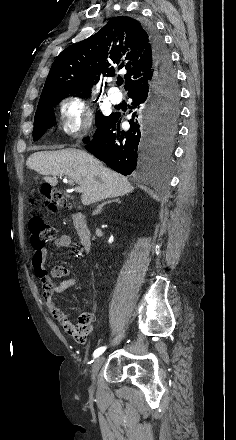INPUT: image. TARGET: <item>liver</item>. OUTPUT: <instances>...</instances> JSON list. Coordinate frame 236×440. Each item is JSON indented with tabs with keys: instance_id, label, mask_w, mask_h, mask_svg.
I'll return each instance as SVG.
<instances>
[{
	"instance_id": "1",
	"label": "liver",
	"mask_w": 236,
	"mask_h": 440,
	"mask_svg": "<svg viewBox=\"0 0 236 440\" xmlns=\"http://www.w3.org/2000/svg\"><path fill=\"white\" fill-rule=\"evenodd\" d=\"M29 169L42 175L47 183L57 185V176L75 181L82 189L83 205L126 195L133 191L128 179L108 168L90 154L76 149L40 151L26 162Z\"/></svg>"
}]
</instances>
